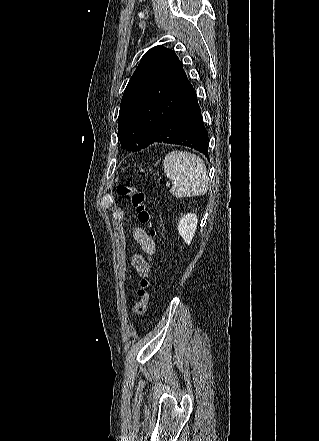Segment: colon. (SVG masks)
Listing matches in <instances>:
<instances>
[{
	"instance_id": "1",
	"label": "colon",
	"mask_w": 319,
	"mask_h": 441,
	"mask_svg": "<svg viewBox=\"0 0 319 441\" xmlns=\"http://www.w3.org/2000/svg\"><path fill=\"white\" fill-rule=\"evenodd\" d=\"M117 192L120 196L127 198L134 209L137 212L138 220L141 223H146L150 227L151 236L155 237L157 235L156 230L153 227V223L151 221V212L147 202L145 192L141 190H137L129 184L120 185L117 188ZM152 259V258H151ZM151 286V280L148 277H145L140 282V289L138 291L139 299L134 304L132 312L135 317L142 316L147 308L150 292L149 288Z\"/></svg>"
}]
</instances>
